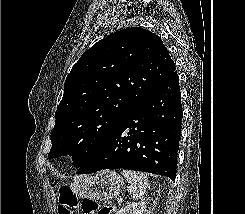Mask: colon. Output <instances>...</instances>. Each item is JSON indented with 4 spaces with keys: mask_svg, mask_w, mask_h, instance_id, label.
I'll use <instances>...</instances> for the list:
<instances>
[{
    "mask_svg": "<svg viewBox=\"0 0 245 214\" xmlns=\"http://www.w3.org/2000/svg\"><path fill=\"white\" fill-rule=\"evenodd\" d=\"M80 209L83 214H117L116 208L112 205H101L90 199L84 200L81 204L74 191L67 186L59 190L58 214H73Z\"/></svg>",
    "mask_w": 245,
    "mask_h": 214,
    "instance_id": "5ec220e1",
    "label": "colon"
}]
</instances>
